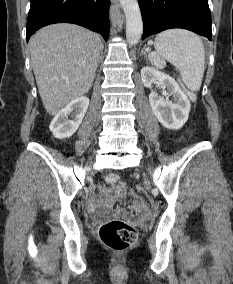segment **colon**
Listing matches in <instances>:
<instances>
[{
    "instance_id": "5ec220e1",
    "label": "colon",
    "mask_w": 233,
    "mask_h": 284,
    "mask_svg": "<svg viewBox=\"0 0 233 284\" xmlns=\"http://www.w3.org/2000/svg\"><path fill=\"white\" fill-rule=\"evenodd\" d=\"M149 60L158 68H163L166 65V61L157 52H151L149 54ZM183 89L192 101L196 99L194 92L186 89L185 87H183ZM105 179L108 183L115 187L116 194L119 197H126L127 187L125 183L121 181L118 174H107ZM131 208L142 217L148 215V206L144 201H134ZM99 236L107 247L116 251H123L131 247L136 242L138 233L133 226L123 221L113 220L100 226Z\"/></svg>"
}]
</instances>
